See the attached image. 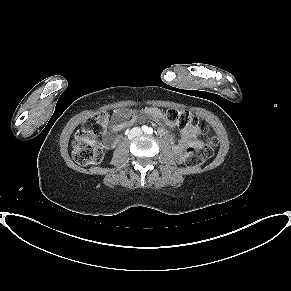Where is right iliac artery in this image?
Listing matches in <instances>:
<instances>
[{"label": "right iliac artery", "mask_w": 291, "mask_h": 291, "mask_svg": "<svg viewBox=\"0 0 291 291\" xmlns=\"http://www.w3.org/2000/svg\"><path fill=\"white\" fill-rule=\"evenodd\" d=\"M143 131H147V126H142Z\"/></svg>", "instance_id": "right-iliac-artery-1"}]
</instances>
